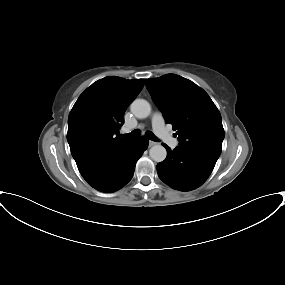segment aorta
<instances>
[{
    "mask_svg": "<svg viewBox=\"0 0 285 285\" xmlns=\"http://www.w3.org/2000/svg\"><path fill=\"white\" fill-rule=\"evenodd\" d=\"M130 109L134 116L140 119L148 117L151 113V106L144 99H135ZM149 155L153 161L162 162L166 159L167 151L164 146L157 144L150 148Z\"/></svg>",
    "mask_w": 285,
    "mask_h": 285,
    "instance_id": "obj_1",
    "label": "aorta"
}]
</instances>
